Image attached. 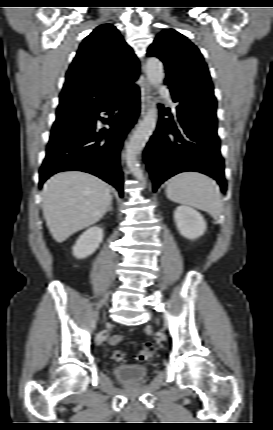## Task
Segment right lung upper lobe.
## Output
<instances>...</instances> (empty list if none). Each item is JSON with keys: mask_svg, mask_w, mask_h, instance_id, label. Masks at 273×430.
<instances>
[{"mask_svg": "<svg viewBox=\"0 0 273 430\" xmlns=\"http://www.w3.org/2000/svg\"><path fill=\"white\" fill-rule=\"evenodd\" d=\"M138 60L112 24L97 27L81 43L66 74L60 106L86 107L134 87Z\"/></svg>", "mask_w": 273, "mask_h": 430, "instance_id": "obj_1", "label": "right lung upper lobe"}]
</instances>
